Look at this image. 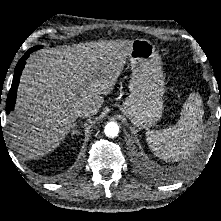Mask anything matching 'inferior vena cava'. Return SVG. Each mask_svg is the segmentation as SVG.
Wrapping results in <instances>:
<instances>
[{
  "label": "inferior vena cava",
  "instance_id": "1",
  "mask_svg": "<svg viewBox=\"0 0 221 221\" xmlns=\"http://www.w3.org/2000/svg\"><path fill=\"white\" fill-rule=\"evenodd\" d=\"M97 112H98V110L89 104H83L79 108H77V110H76L77 116L81 117V118L90 117V116L96 114Z\"/></svg>",
  "mask_w": 221,
  "mask_h": 221
}]
</instances>
